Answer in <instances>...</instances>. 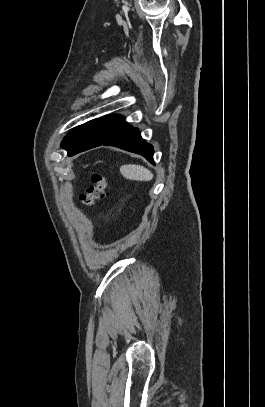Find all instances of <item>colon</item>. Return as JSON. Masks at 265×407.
<instances>
[{
    "label": "colon",
    "instance_id": "colon-1",
    "mask_svg": "<svg viewBox=\"0 0 265 407\" xmlns=\"http://www.w3.org/2000/svg\"><path fill=\"white\" fill-rule=\"evenodd\" d=\"M107 179L99 172L91 173V184L81 194L80 200L84 207L91 209L95 203L106 196Z\"/></svg>",
    "mask_w": 265,
    "mask_h": 407
}]
</instances>
